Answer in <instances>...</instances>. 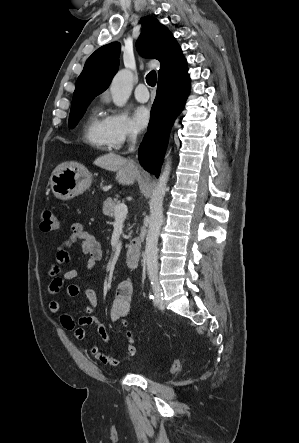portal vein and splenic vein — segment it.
Listing matches in <instances>:
<instances>
[{"instance_id": "obj_1", "label": "portal vein and splenic vein", "mask_w": 299, "mask_h": 443, "mask_svg": "<svg viewBox=\"0 0 299 443\" xmlns=\"http://www.w3.org/2000/svg\"><path fill=\"white\" fill-rule=\"evenodd\" d=\"M128 208L125 204H119L114 211L115 220H124L127 216Z\"/></svg>"}]
</instances>
